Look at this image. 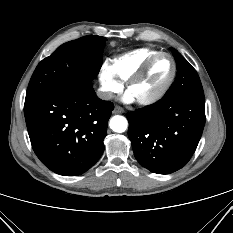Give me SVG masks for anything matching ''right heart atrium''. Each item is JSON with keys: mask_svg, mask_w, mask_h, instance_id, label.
Here are the masks:
<instances>
[{"mask_svg": "<svg viewBox=\"0 0 233 233\" xmlns=\"http://www.w3.org/2000/svg\"><path fill=\"white\" fill-rule=\"evenodd\" d=\"M100 90L105 99H111L115 94L121 92L123 83L112 73L109 65L103 64L98 73Z\"/></svg>", "mask_w": 233, "mask_h": 233, "instance_id": "d8ad5b80", "label": "right heart atrium"}]
</instances>
